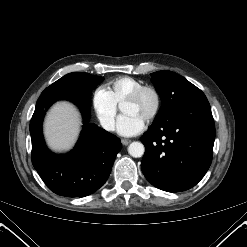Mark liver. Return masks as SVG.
I'll return each mask as SVG.
<instances>
[{
    "label": "liver",
    "mask_w": 247,
    "mask_h": 247,
    "mask_svg": "<svg viewBox=\"0 0 247 247\" xmlns=\"http://www.w3.org/2000/svg\"><path fill=\"white\" fill-rule=\"evenodd\" d=\"M81 118L76 107L68 102L56 103L48 112L44 132L49 146L58 151L68 150L80 131Z\"/></svg>",
    "instance_id": "6515ba94"
}]
</instances>
